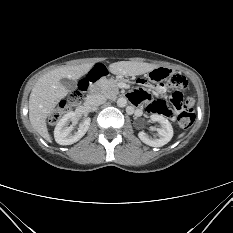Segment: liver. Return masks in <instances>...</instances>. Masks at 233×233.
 I'll use <instances>...</instances> for the list:
<instances>
[{"instance_id": "obj_1", "label": "liver", "mask_w": 233, "mask_h": 233, "mask_svg": "<svg viewBox=\"0 0 233 233\" xmlns=\"http://www.w3.org/2000/svg\"><path fill=\"white\" fill-rule=\"evenodd\" d=\"M93 63L77 66H66L52 70L41 76L35 83L29 97V119L33 128L48 142L46 118L56 105L68 94V90L61 84L62 78L77 80L87 74ZM156 65L149 63L120 61L109 65V70L115 75L136 76L152 71Z\"/></svg>"}]
</instances>
